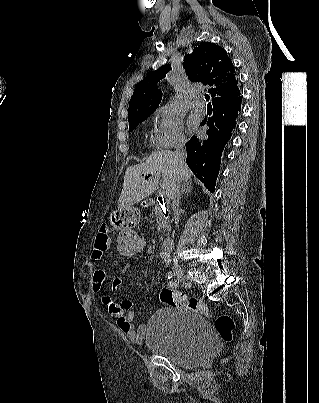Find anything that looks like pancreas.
Masks as SVG:
<instances>
[{
    "instance_id": "pancreas-1",
    "label": "pancreas",
    "mask_w": 319,
    "mask_h": 403,
    "mask_svg": "<svg viewBox=\"0 0 319 403\" xmlns=\"http://www.w3.org/2000/svg\"><path fill=\"white\" fill-rule=\"evenodd\" d=\"M154 213L156 214L157 217V229L158 231L161 230H167L168 227V221H167V217L165 216V213L162 209V206L158 203H155L154 205V209H153Z\"/></svg>"
}]
</instances>
